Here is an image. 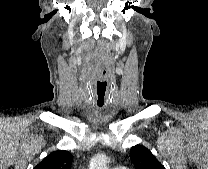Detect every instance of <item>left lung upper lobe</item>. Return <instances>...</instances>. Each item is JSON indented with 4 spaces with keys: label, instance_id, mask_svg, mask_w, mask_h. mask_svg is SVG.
<instances>
[{
    "label": "left lung upper lobe",
    "instance_id": "left-lung-upper-lobe-1",
    "mask_svg": "<svg viewBox=\"0 0 208 169\" xmlns=\"http://www.w3.org/2000/svg\"><path fill=\"white\" fill-rule=\"evenodd\" d=\"M130 157L136 169H165L156 157L144 146L136 145L130 149Z\"/></svg>",
    "mask_w": 208,
    "mask_h": 169
}]
</instances>
